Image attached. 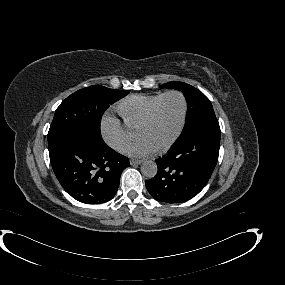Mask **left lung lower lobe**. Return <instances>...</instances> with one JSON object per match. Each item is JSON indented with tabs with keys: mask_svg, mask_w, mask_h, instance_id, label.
I'll return each instance as SVG.
<instances>
[{
	"mask_svg": "<svg viewBox=\"0 0 285 285\" xmlns=\"http://www.w3.org/2000/svg\"><path fill=\"white\" fill-rule=\"evenodd\" d=\"M220 134L217 119H212L181 136L166 156L156 160L157 174L145 181L151 196L167 203H181L196 196L216 166Z\"/></svg>",
	"mask_w": 285,
	"mask_h": 285,
	"instance_id": "obj_1",
	"label": "left lung lower lobe"
}]
</instances>
